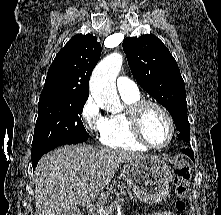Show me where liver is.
Here are the masks:
<instances>
[{"label":"liver","mask_w":221,"mask_h":215,"mask_svg":"<svg viewBox=\"0 0 221 215\" xmlns=\"http://www.w3.org/2000/svg\"><path fill=\"white\" fill-rule=\"evenodd\" d=\"M147 156L85 144L45 154L35 169V215H64L91 203L122 163Z\"/></svg>","instance_id":"1"}]
</instances>
